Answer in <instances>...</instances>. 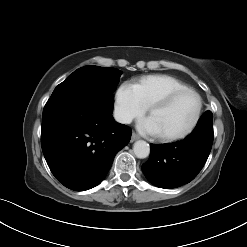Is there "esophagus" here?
<instances>
[{"mask_svg": "<svg viewBox=\"0 0 247 247\" xmlns=\"http://www.w3.org/2000/svg\"><path fill=\"white\" fill-rule=\"evenodd\" d=\"M140 137L138 134H136L135 132L132 133V137H131V142H134L136 140H138Z\"/></svg>", "mask_w": 247, "mask_h": 247, "instance_id": "1", "label": "esophagus"}]
</instances>
